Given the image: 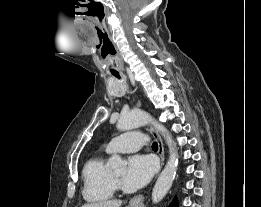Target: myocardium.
Masks as SVG:
<instances>
[{
    "mask_svg": "<svg viewBox=\"0 0 261 207\" xmlns=\"http://www.w3.org/2000/svg\"><path fill=\"white\" fill-rule=\"evenodd\" d=\"M112 178H113L114 183H115L116 185H120V184H121V179H119V178L114 174V172H112Z\"/></svg>",
    "mask_w": 261,
    "mask_h": 207,
    "instance_id": "f54148a6",
    "label": "myocardium"
}]
</instances>
